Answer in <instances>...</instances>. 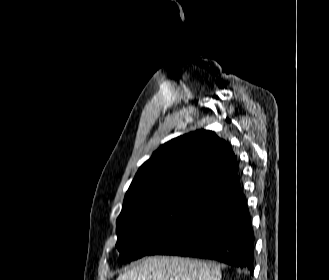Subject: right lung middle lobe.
I'll return each instance as SVG.
<instances>
[{"label": "right lung middle lobe", "mask_w": 329, "mask_h": 280, "mask_svg": "<svg viewBox=\"0 0 329 280\" xmlns=\"http://www.w3.org/2000/svg\"><path fill=\"white\" fill-rule=\"evenodd\" d=\"M203 199L176 195L136 207L123 205L117 219L119 260L130 262L149 255L201 205Z\"/></svg>", "instance_id": "dd1d6c3e"}]
</instances>
